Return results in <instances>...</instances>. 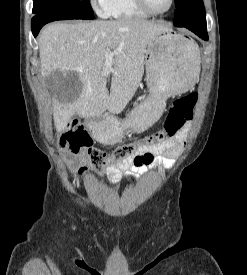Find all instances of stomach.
I'll use <instances>...</instances> for the list:
<instances>
[{
    "label": "stomach",
    "instance_id": "0dacf381",
    "mask_svg": "<svg viewBox=\"0 0 247 275\" xmlns=\"http://www.w3.org/2000/svg\"><path fill=\"white\" fill-rule=\"evenodd\" d=\"M145 65L149 96L136 104L124 121L90 122L89 129L99 142L114 144L128 130L143 132L152 126L161 117L168 97L182 94L196 84L199 49L192 40L170 30L149 42Z\"/></svg>",
    "mask_w": 247,
    "mask_h": 275
}]
</instances>
